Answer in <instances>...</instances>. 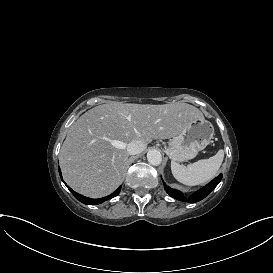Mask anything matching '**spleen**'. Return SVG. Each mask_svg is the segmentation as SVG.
<instances>
[{
    "mask_svg": "<svg viewBox=\"0 0 273 273\" xmlns=\"http://www.w3.org/2000/svg\"><path fill=\"white\" fill-rule=\"evenodd\" d=\"M224 158V151L219 150L209 159H202L193 164L182 166L175 161L171 162L173 176L188 186L203 184L211 180L218 172Z\"/></svg>",
    "mask_w": 273,
    "mask_h": 273,
    "instance_id": "1",
    "label": "spleen"
}]
</instances>
